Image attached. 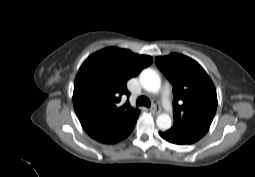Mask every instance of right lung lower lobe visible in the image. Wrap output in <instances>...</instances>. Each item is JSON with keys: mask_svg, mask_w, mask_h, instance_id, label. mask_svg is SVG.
I'll use <instances>...</instances> for the list:
<instances>
[{"mask_svg": "<svg viewBox=\"0 0 255 177\" xmlns=\"http://www.w3.org/2000/svg\"><path fill=\"white\" fill-rule=\"evenodd\" d=\"M139 116V112L135 115H132L123 121H121L119 124L105 132L104 134L94 138L98 142L104 143V144H114L117 143L125 138H127L130 133L132 132L136 120Z\"/></svg>", "mask_w": 255, "mask_h": 177, "instance_id": "98d812e1", "label": "right lung lower lobe"}]
</instances>
